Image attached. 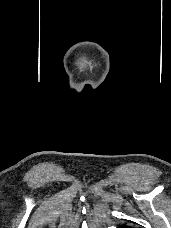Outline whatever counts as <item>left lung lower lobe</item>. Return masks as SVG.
Here are the masks:
<instances>
[{"label":"left lung lower lobe","instance_id":"0a47b994","mask_svg":"<svg viewBox=\"0 0 171 228\" xmlns=\"http://www.w3.org/2000/svg\"><path fill=\"white\" fill-rule=\"evenodd\" d=\"M120 228H132V227L125 224V225L121 226Z\"/></svg>","mask_w":171,"mask_h":228}]
</instances>
